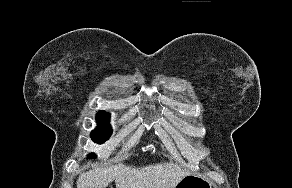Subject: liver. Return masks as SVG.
I'll list each match as a JSON object with an SVG mask.
<instances>
[{
    "label": "liver",
    "mask_w": 292,
    "mask_h": 188,
    "mask_svg": "<svg viewBox=\"0 0 292 188\" xmlns=\"http://www.w3.org/2000/svg\"><path fill=\"white\" fill-rule=\"evenodd\" d=\"M189 172L174 163H156L143 167L119 163L80 174L77 188H106L115 180L116 188H175Z\"/></svg>",
    "instance_id": "liver-1"
}]
</instances>
